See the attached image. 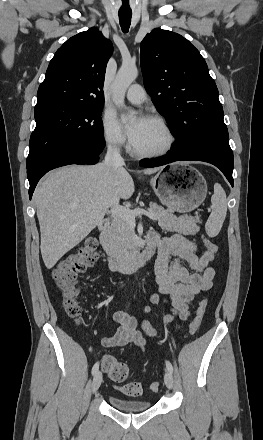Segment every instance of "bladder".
I'll return each instance as SVG.
<instances>
[{
  "mask_svg": "<svg viewBox=\"0 0 263 440\" xmlns=\"http://www.w3.org/2000/svg\"><path fill=\"white\" fill-rule=\"evenodd\" d=\"M111 404L119 410L128 412L144 411L151 408V402L143 399H129L120 396H109Z\"/></svg>",
  "mask_w": 263,
  "mask_h": 440,
  "instance_id": "obj_1",
  "label": "bladder"
}]
</instances>
